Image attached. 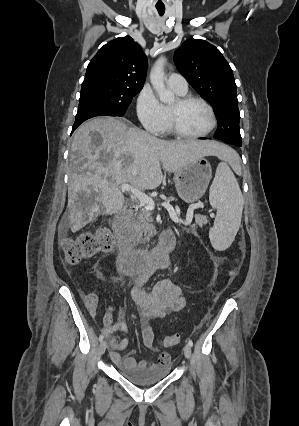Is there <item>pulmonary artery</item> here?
Wrapping results in <instances>:
<instances>
[{
    "instance_id": "e3ab8cb5",
    "label": "pulmonary artery",
    "mask_w": 299,
    "mask_h": 426,
    "mask_svg": "<svg viewBox=\"0 0 299 426\" xmlns=\"http://www.w3.org/2000/svg\"><path fill=\"white\" fill-rule=\"evenodd\" d=\"M167 83L169 87L179 92H186L188 89L186 79L178 73H171L168 76Z\"/></svg>"
}]
</instances>
